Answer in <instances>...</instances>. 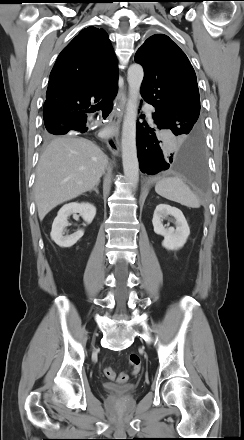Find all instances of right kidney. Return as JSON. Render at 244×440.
<instances>
[{
  "instance_id": "obj_1",
  "label": "right kidney",
  "mask_w": 244,
  "mask_h": 440,
  "mask_svg": "<svg viewBox=\"0 0 244 440\" xmlns=\"http://www.w3.org/2000/svg\"><path fill=\"white\" fill-rule=\"evenodd\" d=\"M79 213L87 224H90L95 215L96 208L90 203L72 202L65 204L54 219L51 230L52 240L60 247L68 248L73 246L83 235V230H78L72 235L64 236V229L68 225V217Z\"/></svg>"
}]
</instances>
